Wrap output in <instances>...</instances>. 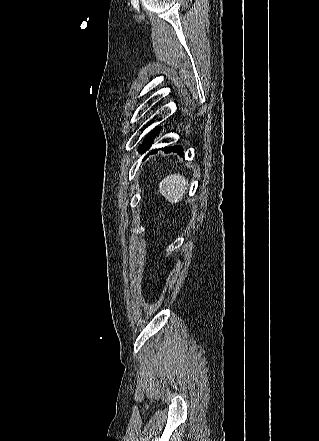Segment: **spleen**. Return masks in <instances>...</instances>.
<instances>
[{
	"label": "spleen",
	"instance_id": "3e777b00",
	"mask_svg": "<svg viewBox=\"0 0 319 441\" xmlns=\"http://www.w3.org/2000/svg\"><path fill=\"white\" fill-rule=\"evenodd\" d=\"M188 187V179L180 173L167 175L159 184V192L171 204L183 199Z\"/></svg>",
	"mask_w": 319,
	"mask_h": 441
}]
</instances>
